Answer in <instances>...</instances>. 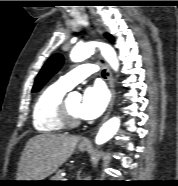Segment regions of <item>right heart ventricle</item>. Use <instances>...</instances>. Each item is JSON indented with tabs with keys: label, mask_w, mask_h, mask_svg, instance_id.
<instances>
[{
	"label": "right heart ventricle",
	"mask_w": 178,
	"mask_h": 186,
	"mask_svg": "<svg viewBox=\"0 0 178 186\" xmlns=\"http://www.w3.org/2000/svg\"><path fill=\"white\" fill-rule=\"evenodd\" d=\"M67 91L57 82L39 95L32 113L33 126L38 132L51 134L64 129L57 120V108Z\"/></svg>",
	"instance_id": "e07e8e85"
}]
</instances>
